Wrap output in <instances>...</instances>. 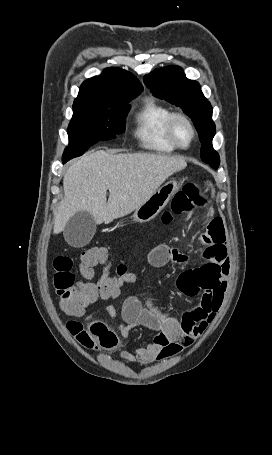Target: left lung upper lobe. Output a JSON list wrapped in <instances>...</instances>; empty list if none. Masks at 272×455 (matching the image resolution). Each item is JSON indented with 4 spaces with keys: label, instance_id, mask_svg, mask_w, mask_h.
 I'll list each match as a JSON object with an SVG mask.
<instances>
[{
    "label": "left lung upper lobe",
    "instance_id": "5c2ea615",
    "mask_svg": "<svg viewBox=\"0 0 272 455\" xmlns=\"http://www.w3.org/2000/svg\"><path fill=\"white\" fill-rule=\"evenodd\" d=\"M143 80L153 95L181 107L192 119L202 143L201 159L217 169L220 158L212 146L216 132L212 121V106L204 97L199 83L187 79L183 69L175 65L155 69L145 75Z\"/></svg>",
    "mask_w": 272,
    "mask_h": 455
}]
</instances>
